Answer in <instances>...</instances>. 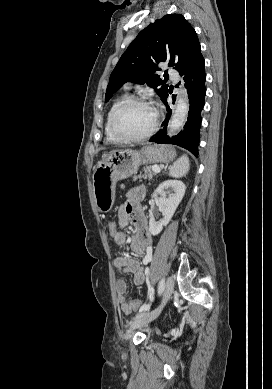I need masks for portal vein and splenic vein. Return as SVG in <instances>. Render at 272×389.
I'll return each instance as SVG.
<instances>
[{
	"instance_id": "18ae733b",
	"label": "portal vein and splenic vein",
	"mask_w": 272,
	"mask_h": 389,
	"mask_svg": "<svg viewBox=\"0 0 272 389\" xmlns=\"http://www.w3.org/2000/svg\"><path fill=\"white\" fill-rule=\"evenodd\" d=\"M152 170H153L154 172H156V173H159V172H160V167L157 166V165H154V166L152 167Z\"/></svg>"
}]
</instances>
